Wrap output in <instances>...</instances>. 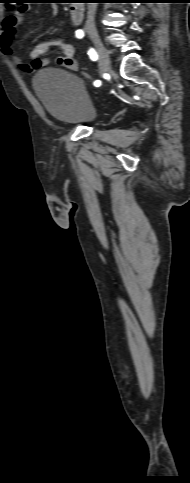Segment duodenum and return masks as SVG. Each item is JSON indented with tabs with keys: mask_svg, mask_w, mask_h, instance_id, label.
Returning <instances> with one entry per match:
<instances>
[{
	"mask_svg": "<svg viewBox=\"0 0 190 483\" xmlns=\"http://www.w3.org/2000/svg\"><path fill=\"white\" fill-rule=\"evenodd\" d=\"M84 1L74 0L70 6V18L72 23L78 24L84 17Z\"/></svg>",
	"mask_w": 190,
	"mask_h": 483,
	"instance_id": "duodenum-1",
	"label": "duodenum"
}]
</instances>
